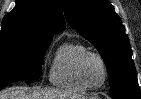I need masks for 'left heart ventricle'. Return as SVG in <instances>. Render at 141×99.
I'll list each match as a JSON object with an SVG mask.
<instances>
[{
    "mask_svg": "<svg viewBox=\"0 0 141 99\" xmlns=\"http://www.w3.org/2000/svg\"><path fill=\"white\" fill-rule=\"evenodd\" d=\"M84 74L91 85H99L104 78V71L100 61L94 57L88 58L84 65Z\"/></svg>",
    "mask_w": 141,
    "mask_h": 99,
    "instance_id": "b2bd125f",
    "label": "left heart ventricle"
}]
</instances>
